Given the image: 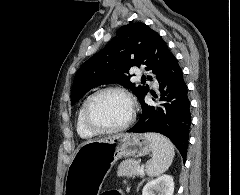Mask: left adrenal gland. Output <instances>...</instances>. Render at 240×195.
I'll use <instances>...</instances> for the list:
<instances>
[{
	"label": "left adrenal gland",
	"instance_id": "obj_1",
	"mask_svg": "<svg viewBox=\"0 0 240 195\" xmlns=\"http://www.w3.org/2000/svg\"><path fill=\"white\" fill-rule=\"evenodd\" d=\"M145 179H142V181H140V183H138L137 185V189H139L140 185H142V183H144Z\"/></svg>",
	"mask_w": 240,
	"mask_h": 195
}]
</instances>
